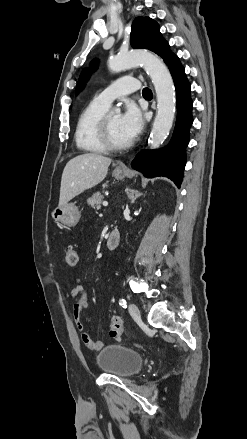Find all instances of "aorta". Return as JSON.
<instances>
[{
  "mask_svg": "<svg viewBox=\"0 0 247 439\" xmlns=\"http://www.w3.org/2000/svg\"><path fill=\"white\" fill-rule=\"evenodd\" d=\"M140 64L150 76L157 95V115L149 139L150 148L156 149L167 138L175 116V88L169 70L157 56L147 52L119 53L108 60V68L114 73ZM115 111L119 113L120 109Z\"/></svg>",
  "mask_w": 247,
  "mask_h": 439,
  "instance_id": "1",
  "label": "aorta"
}]
</instances>
